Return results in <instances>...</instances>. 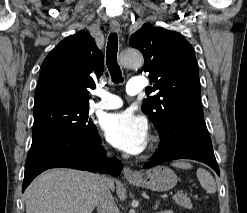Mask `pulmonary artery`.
<instances>
[{"mask_svg": "<svg viewBox=\"0 0 247 213\" xmlns=\"http://www.w3.org/2000/svg\"><path fill=\"white\" fill-rule=\"evenodd\" d=\"M142 83V77L131 78L126 87L127 94L130 96L139 94L143 89ZM97 95L100 97V100L93 105L94 110L118 109L123 105L122 99L119 96L113 95L109 92L98 91Z\"/></svg>", "mask_w": 247, "mask_h": 213, "instance_id": "obj_1", "label": "pulmonary artery"}]
</instances>
